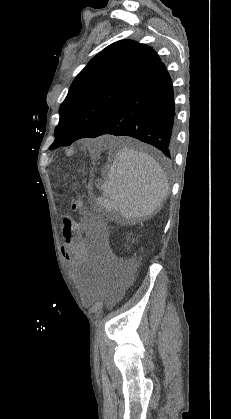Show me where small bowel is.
<instances>
[{
	"label": "small bowel",
	"mask_w": 231,
	"mask_h": 419,
	"mask_svg": "<svg viewBox=\"0 0 231 419\" xmlns=\"http://www.w3.org/2000/svg\"><path fill=\"white\" fill-rule=\"evenodd\" d=\"M63 225V244L61 252L71 269L75 272L80 266L84 265L90 256V246L82 236V227L79 223L72 220L69 216L62 218ZM102 252V250H100ZM122 293V289L114 290L110 298L115 300Z\"/></svg>",
	"instance_id": "small-bowel-1"
}]
</instances>
